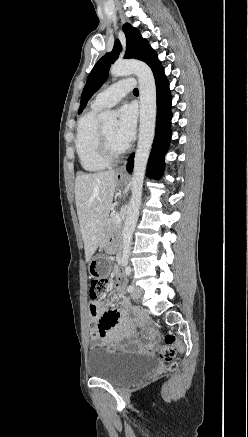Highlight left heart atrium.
<instances>
[{
    "mask_svg": "<svg viewBox=\"0 0 248 437\" xmlns=\"http://www.w3.org/2000/svg\"><path fill=\"white\" fill-rule=\"evenodd\" d=\"M136 130V111L131 105H124L119 110L115 136L119 142L127 145L131 142Z\"/></svg>",
    "mask_w": 248,
    "mask_h": 437,
    "instance_id": "left-heart-atrium-1",
    "label": "left heart atrium"
}]
</instances>
